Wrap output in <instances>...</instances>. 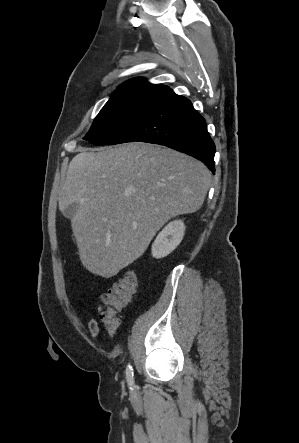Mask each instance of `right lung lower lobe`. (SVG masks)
<instances>
[{"label":"right lung lower lobe","instance_id":"1","mask_svg":"<svg viewBox=\"0 0 299 443\" xmlns=\"http://www.w3.org/2000/svg\"><path fill=\"white\" fill-rule=\"evenodd\" d=\"M147 142L164 145L204 162L215 173V145L205 119L187 98L167 89L108 145Z\"/></svg>","mask_w":299,"mask_h":443}]
</instances>
